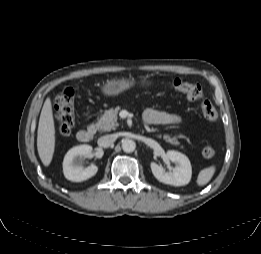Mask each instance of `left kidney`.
<instances>
[{
	"label": "left kidney",
	"instance_id": "obj_1",
	"mask_svg": "<svg viewBox=\"0 0 261 254\" xmlns=\"http://www.w3.org/2000/svg\"><path fill=\"white\" fill-rule=\"evenodd\" d=\"M167 161L174 162L176 166L172 172H165V169L152 162L150 164L154 177L164 183L173 186H183L190 182L192 176V167L188 157L180 152L169 150L165 154Z\"/></svg>",
	"mask_w": 261,
	"mask_h": 254
}]
</instances>
